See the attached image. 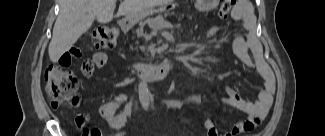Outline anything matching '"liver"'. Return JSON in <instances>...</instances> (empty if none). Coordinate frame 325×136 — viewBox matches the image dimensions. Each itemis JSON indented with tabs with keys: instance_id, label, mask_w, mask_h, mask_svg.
Listing matches in <instances>:
<instances>
[{
	"instance_id": "6515ba94",
	"label": "liver",
	"mask_w": 325,
	"mask_h": 136,
	"mask_svg": "<svg viewBox=\"0 0 325 136\" xmlns=\"http://www.w3.org/2000/svg\"><path fill=\"white\" fill-rule=\"evenodd\" d=\"M169 2L170 0H123L117 16L137 18L153 7ZM115 5L116 0H60V11L48 49L50 60L58 61L88 31L95 19L100 23L110 22L114 17Z\"/></svg>"
}]
</instances>
